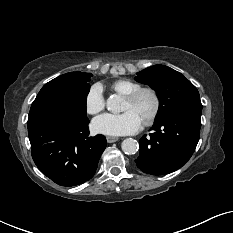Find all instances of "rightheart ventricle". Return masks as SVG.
I'll use <instances>...</instances> for the list:
<instances>
[{
	"label": "right heart ventricle",
	"instance_id": "right-heart-ventricle-1",
	"mask_svg": "<svg viewBox=\"0 0 233 233\" xmlns=\"http://www.w3.org/2000/svg\"><path fill=\"white\" fill-rule=\"evenodd\" d=\"M140 87L139 83L128 79H120L111 84L112 91L121 96H126Z\"/></svg>",
	"mask_w": 233,
	"mask_h": 233
}]
</instances>
